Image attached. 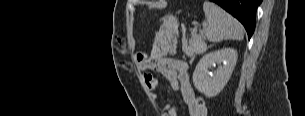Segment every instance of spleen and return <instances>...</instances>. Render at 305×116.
Here are the masks:
<instances>
[{"instance_id":"spleen-1","label":"spleen","mask_w":305,"mask_h":116,"mask_svg":"<svg viewBox=\"0 0 305 116\" xmlns=\"http://www.w3.org/2000/svg\"><path fill=\"white\" fill-rule=\"evenodd\" d=\"M203 10L207 19L204 34L210 42L217 43L223 40L243 39V26L224 9L210 1H205Z\"/></svg>"}]
</instances>
